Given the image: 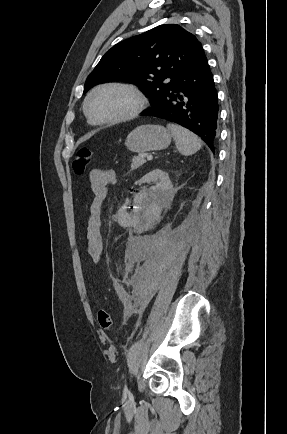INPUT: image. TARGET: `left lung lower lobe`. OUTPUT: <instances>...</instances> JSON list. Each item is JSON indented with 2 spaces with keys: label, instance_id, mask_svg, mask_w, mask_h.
<instances>
[{
  "label": "left lung lower lobe",
  "instance_id": "left-lung-lower-lobe-1",
  "mask_svg": "<svg viewBox=\"0 0 287 434\" xmlns=\"http://www.w3.org/2000/svg\"><path fill=\"white\" fill-rule=\"evenodd\" d=\"M218 111L213 75L203 54L180 71L157 104L142 115L166 119L191 130L214 152Z\"/></svg>",
  "mask_w": 287,
  "mask_h": 434
}]
</instances>
